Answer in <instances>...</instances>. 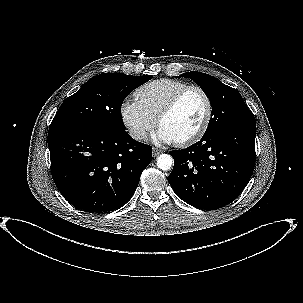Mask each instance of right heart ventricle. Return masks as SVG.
I'll use <instances>...</instances> for the list:
<instances>
[{"instance_id": "obj_1", "label": "right heart ventricle", "mask_w": 303, "mask_h": 303, "mask_svg": "<svg viewBox=\"0 0 303 303\" xmlns=\"http://www.w3.org/2000/svg\"><path fill=\"white\" fill-rule=\"evenodd\" d=\"M187 86L189 85L186 82L180 80H154L138 88L135 97L145 110L156 119L170 99Z\"/></svg>"}]
</instances>
